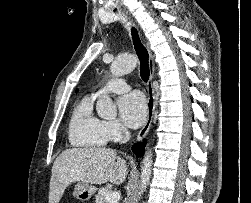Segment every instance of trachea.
Listing matches in <instances>:
<instances>
[{
  "label": "trachea",
  "mask_w": 251,
  "mask_h": 203,
  "mask_svg": "<svg viewBox=\"0 0 251 203\" xmlns=\"http://www.w3.org/2000/svg\"><path fill=\"white\" fill-rule=\"evenodd\" d=\"M133 44L135 47V51L140 60V75L144 82L149 80L150 70L148 64V52L145 46L142 44L138 32L135 28L131 29Z\"/></svg>",
  "instance_id": "trachea-1"
}]
</instances>
